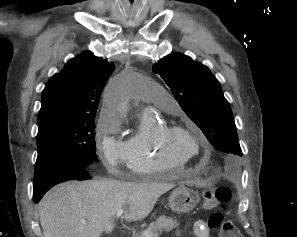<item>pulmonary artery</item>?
<instances>
[{
    "mask_svg": "<svg viewBox=\"0 0 297 237\" xmlns=\"http://www.w3.org/2000/svg\"><path fill=\"white\" fill-rule=\"evenodd\" d=\"M157 104L160 105L163 109H167L171 112L176 111L178 104L174 98L169 94H164L156 100Z\"/></svg>",
    "mask_w": 297,
    "mask_h": 237,
    "instance_id": "obj_1",
    "label": "pulmonary artery"
}]
</instances>
